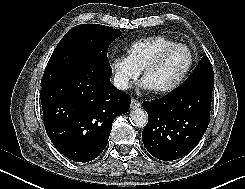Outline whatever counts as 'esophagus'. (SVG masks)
<instances>
[{"mask_svg": "<svg viewBox=\"0 0 245 189\" xmlns=\"http://www.w3.org/2000/svg\"><path fill=\"white\" fill-rule=\"evenodd\" d=\"M141 106V103L135 99H131L130 107L131 109H136Z\"/></svg>", "mask_w": 245, "mask_h": 189, "instance_id": "obj_1", "label": "esophagus"}]
</instances>
